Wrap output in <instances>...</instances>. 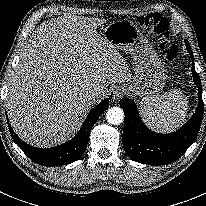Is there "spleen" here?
<instances>
[{
	"label": "spleen",
	"mask_w": 206,
	"mask_h": 206,
	"mask_svg": "<svg viewBox=\"0 0 206 206\" xmlns=\"http://www.w3.org/2000/svg\"><path fill=\"white\" fill-rule=\"evenodd\" d=\"M141 115L152 130L170 132L179 128L186 119L188 101L178 89L162 95L145 97L141 101Z\"/></svg>",
	"instance_id": "3e777b00"
}]
</instances>
